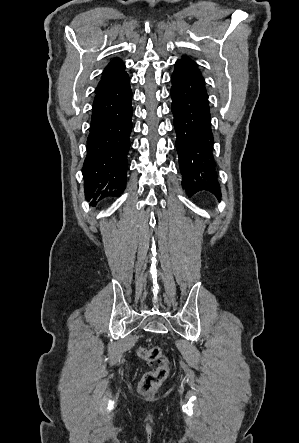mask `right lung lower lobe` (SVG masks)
<instances>
[{"instance_id": "98d812e1", "label": "right lung lower lobe", "mask_w": 299, "mask_h": 443, "mask_svg": "<svg viewBox=\"0 0 299 443\" xmlns=\"http://www.w3.org/2000/svg\"><path fill=\"white\" fill-rule=\"evenodd\" d=\"M131 99L127 73L96 91L83 168L85 196L92 205L97 199L121 195L125 188Z\"/></svg>"}]
</instances>
